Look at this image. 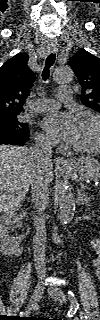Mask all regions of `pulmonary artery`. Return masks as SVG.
I'll list each match as a JSON object with an SVG mask.
<instances>
[{
    "label": "pulmonary artery",
    "instance_id": "1",
    "mask_svg": "<svg viewBox=\"0 0 100 320\" xmlns=\"http://www.w3.org/2000/svg\"><path fill=\"white\" fill-rule=\"evenodd\" d=\"M58 97L61 102L72 101V89L70 86H61L58 89ZM58 106V102L53 99H39L32 104V109L35 111H51Z\"/></svg>",
    "mask_w": 100,
    "mask_h": 320
}]
</instances>
